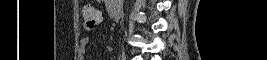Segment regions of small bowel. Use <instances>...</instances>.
<instances>
[{
  "mask_svg": "<svg viewBox=\"0 0 267 60\" xmlns=\"http://www.w3.org/2000/svg\"><path fill=\"white\" fill-rule=\"evenodd\" d=\"M81 42H82V45H84V46H86L87 44H88V38H83L82 40H81Z\"/></svg>",
  "mask_w": 267,
  "mask_h": 60,
  "instance_id": "small-bowel-1",
  "label": "small bowel"
}]
</instances>
